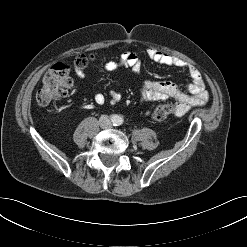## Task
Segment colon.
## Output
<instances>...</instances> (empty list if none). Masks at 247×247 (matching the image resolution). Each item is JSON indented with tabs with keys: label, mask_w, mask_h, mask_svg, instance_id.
Returning a JSON list of instances; mask_svg holds the SVG:
<instances>
[{
	"label": "colon",
	"mask_w": 247,
	"mask_h": 247,
	"mask_svg": "<svg viewBox=\"0 0 247 247\" xmlns=\"http://www.w3.org/2000/svg\"><path fill=\"white\" fill-rule=\"evenodd\" d=\"M91 60H93L91 55H79L75 58L74 64L77 68L84 69ZM72 84L70 67L68 65L59 63L53 66L45 74L41 87L37 91V103L40 106H47L55 100L66 97ZM176 109V104L172 101L160 104L153 111V119L159 122L164 121L176 113Z\"/></svg>",
	"instance_id": "obj_1"
}]
</instances>
